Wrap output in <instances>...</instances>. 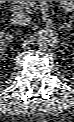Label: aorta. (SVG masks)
<instances>
[{
	"mask_svg": "<svg viewBox=\"0 0 74 122\" xmlns=\"http://www.w3.org/2000/svg\"><path fill=\"white\" fill-rule=\"evenodd\" d=\"M58 39L54 32L41 30L37 34V45L41 51H50L56 47Z\"/></svg>",
	"mask_w": 74,
	"mask_h": 122,
	"instance_id": "762f6f07",
	"label": "aorta"
}]
</instances>
